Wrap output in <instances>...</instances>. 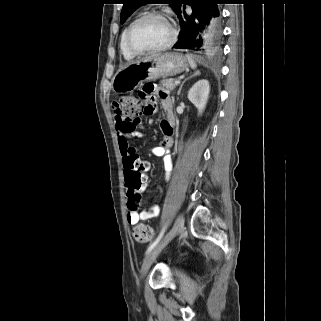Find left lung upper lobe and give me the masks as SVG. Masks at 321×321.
<instances>
[{
  "instance_id": "1",
  "label": "left lung upper lobe",
  "mask_w": 321,
  "mask_h": 321,
  "mask_svg": "<svg viewBox=\"0 0 321 321\" xmlns=\"http://www.w3.org/2000/svg\"><path fill=\"white\" fill-rule=\"evenodd\" d=\"M158 0H123V8L120 14L121 23L125 20L141 5L154 3ZM172 5L173 10L177 13L184 0H167Z\"/></svg>"
}]
</instances>
